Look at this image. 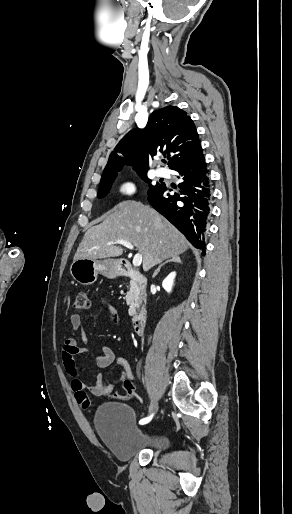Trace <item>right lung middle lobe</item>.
Here are the masks:
<instances>
[{"mask_svg": "<svg viewBox=\"0 0 292 514\" xmlns=\"http://www.w3.org/2000/svg\"><path fill=\"white\" fill-rule=\"evenodd\" d=\"M139 176L141 177V179L144 182H146V183H150L151 182V180L147 177V173H141V174H139ZM114 180H115V178H111V179H107V180H104V181L100 182L99 191H98V195H97L98 198L105 197L109 193V191L111 189V186H112V182ZM160 185H161L160 183H157L156 185L149 184V190L148 191H151V190L157 188Z\"/></svg>", "mask_w": 292, "mask_h": 514, "instance_id": "1", "label": "right lung middle lobe"}]
</instances>
